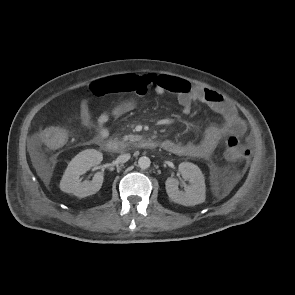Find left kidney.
Instances as JSON below:
<instances>
[{
	"instance_id": "5707ae66",
	"label": "left kidney",
	"mask_w": 295,
	"mask_h": 295,
	"mask_svg": "<svg viewBox=\"0 0 295 295\" xmlns=\"http://www.w3.org/2000/svg\"><path fill=\"white\" fill-rule=\"evenodd\" d=\"M179 171L190 185L185 187L184 191L179 190V182L175 178H167L166 192L169 198L184 206H194L205 201V179L199 167L193 163L183 162L179 164Z\"/></svg>"
}]
</instances>
